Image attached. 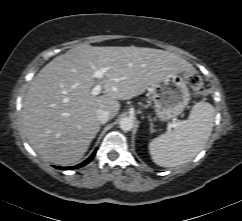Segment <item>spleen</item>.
<instances>
[{
    "instance_id": "obj_1",
    "label": "spleen",
    "mask_w": 242,
    "mask_h": 221,
    "mask_svg": "<svg viewBox=\"0 0 242 221\" xmlns=\"http://www.w3.org/2000/svg\"><path fill=\"white\" fill-rule=\"evenodd\" d=\"M214 112L215 108L210 103L197 102L184 124L149 143L153 162L161 167H175L193 159L211 135Z\"/></svg>"
}]
</instances>
